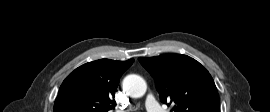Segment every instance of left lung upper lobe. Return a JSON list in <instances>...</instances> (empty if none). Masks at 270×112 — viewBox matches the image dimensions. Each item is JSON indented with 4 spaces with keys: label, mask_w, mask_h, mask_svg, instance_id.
<instances>
[{
    "label": "left lung upper lobe",
    "mask_w": 270,
    "mask_h": 112,
    "mask_svg": "<svg viewBox=\"0 0 270 112\" xmlns=\"http://www.w3.org/2000/svg\"><path fill=\"white\" fill-rule=\"evenodd\" d=\"M155 79L163 103L174 112H220L219 95L209 72L183 54L139 58Z\"/></svg>",
    "instance_id": "5c2ea615"
}]
</instances>
